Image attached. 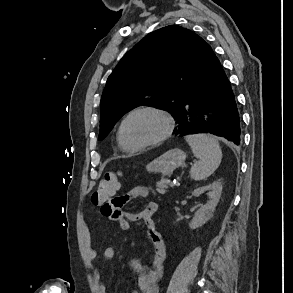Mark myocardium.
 <instances>
[{"label":"myocardium","mask_w":293,"mask_h":293,"mask_svg":"<svg viewBox=\"0 0 293 293\" xmlns=\"http://www.w3.org/2000/svg\"><path fill=\"white\" fill-rule=\"evenodd\" d=\"M141 112H150V113L158 115L164 121L165 126H164L162 133L157 138H155L149 142H146V143L133 145V144L129 143L128 140L126 139L125 125H126L127 121L133 115H135L137 113H141ZM174 127H175V123H174L172 116L168 112H166L165 110L160 109L158 107H154V106H140V107H137V108L131 110L123 118V120L121 121L120 126H119V134H120V139H121L123 145L127 149H129L131 151H138V150L146 149V148L157 146V145L161 144L162 142L167 140L172 135V133L174 131Z\"/></svg>","instance_id":"f54148a6"}]
</instances>
